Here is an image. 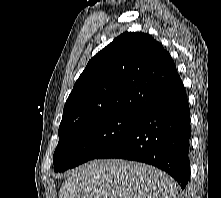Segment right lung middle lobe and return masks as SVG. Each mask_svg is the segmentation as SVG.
Here are the masks:
<instances>
[{
	"instance_id": "obj_1",
	"label": "right lung middle lobe",
	"mask_w": 221,
	"mask_h": 198,
	"mask_svg": "<svg viewBox=\"0 0 221 198\" xmlns=\"http://www.w3.org/2000/svg\"><path fill=\"white\" fill-rule=\"evenodd\" d=\"M139 117L134 114H114L59 135L58 146L53 155L54 171L63 172L95 159L128 134Z\"/></svg>"
}]
</instances>
